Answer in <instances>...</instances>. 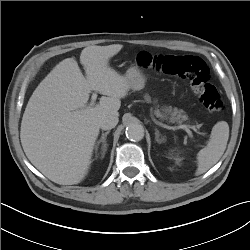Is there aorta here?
Returning a JSON list of instances; mask_svg holds the SVG:
<instances>
[{
	"label": "aorta",
	"mask_w": 250,
	"mask_h": 250,
	"mask_svg": "<svg viewBox=\"0 0 250 250\" xmlns=\"http://www.w3.org/2000/svg\"><path fill=\"white\" fill-rule=\"evenodd\" d=\"M126 136L134 142L142 140L144 137L143 126L137 122L128 124L126 127Z\"/></svg>",
	"instance_id": "obj_1"
}]
</instances>
